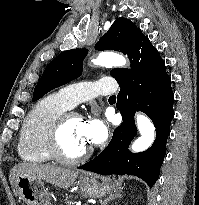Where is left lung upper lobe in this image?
Wrapping results in <instances>:
<instances>
[{
	"mask_svg": "<svg viewBox=\"0 0 199 205\" xmlns=\"http://www.w3.org/2000/svg\"><path fill=\"white\" fill-rule=\"evenodd\" d=\"M141 32L136 25L126 18H117L110 29L96 44L97 50H116L127 54L135 38ZM87 49L67 50L54 58L45 68L33 93V101L40 99L49 91L76 79L82 73V61ZM120 69H112L110 75L118 76Z\"/></svg>",
	"mask_w": 199,
	"mask_h": 205,
	"instance_id": "1",
	"label": "left lung upper lobe"
}]
</instances>
